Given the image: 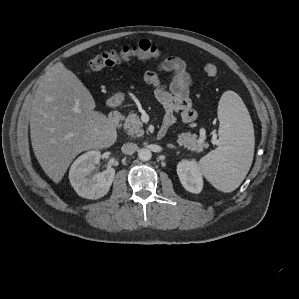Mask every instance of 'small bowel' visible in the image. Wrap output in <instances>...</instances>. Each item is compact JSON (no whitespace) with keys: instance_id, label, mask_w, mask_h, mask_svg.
I'll return each instance as SVG.
<instances>
[{"instance_id":"1","label":"small bowel","mask_w":299,"mask_h":299,"mask_svg":"<svg viewBox=\"0 0 299 299\" xmlns=\"http://www.w3.org/2000/svg\"><path fill=\"white\" fill-rule=\"evenodd\" d=\"M170 72L171 80L168 85L161 82L158 72ZM144 81L154 87L155 99L165 109L163 129L175 123V114L179 113L185 123L196 119V112L192 108L189 98L192 79L188 64L180 57L170 56L158 64L156 70H149L144 74Z\"/></svg>"}]
</instances>
